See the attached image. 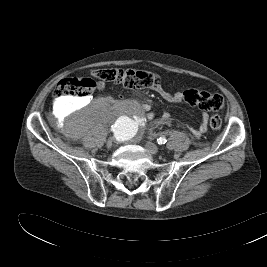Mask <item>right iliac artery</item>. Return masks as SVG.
Here are the masks:
<instances>
[{
	"label": "right iliac artery",
	"instance_id": "82829eb1",
	"mask_svg": "<svg viewBox=\"0 0 267 267\" xmlns=\"http://www.w3.org/2000/svg\"><path fill=\"white\" fill-rule=\"evenodd\" d=\"M117 125L114 126V128H112V131H116L115 128H116ZM113 127V126H112ZM122 138V137H121Z\"/></svg>",
	"mask_w": 267,
	"mask_h": 267
}]
</instances>
